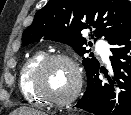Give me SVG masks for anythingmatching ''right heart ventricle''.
Here are the masks:
<instances>
[{
    "mask_svg": "<svg viewBox=\"0 0 131 115\" xmlns=\"http://www.w3.org/2000/svg\"><path fill=\"white\" fill-rule=\"evenodd\" d=\"M42 51H36L28 56L19 70L18 85L24 100L32 105L40 106L43 101L33 92L31 88V76L34 67L44 57Z\"/></svg>",
    "mask_w": 131,
    "mask_h": 115,
    "instance_id": "e07e8e85",
    "label": "right heart ventricle"
}]
</instances>
